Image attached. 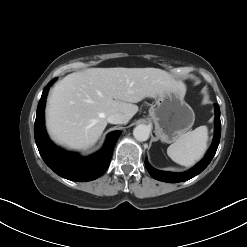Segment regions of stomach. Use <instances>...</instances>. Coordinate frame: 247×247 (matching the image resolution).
I'll return each instance as SVG.
<instances>
[{
  "label": "stomach",
  "instance_id": "obj_1",
  "mask_svg": "<svg viewBox=\"0 0 247 247\" xmlns=\"http://www.w3.org/2000/svg\"><path fill=\"white\" fill-rule=\"evenodd\" d=\"M185 91L184 85L166 90L149 109V115L155 125V134L162 142L176 141L194 124L195 114L184 100Z\"/></svg>",
  "mask_w": 247,
  "mask_h": 247
}]
</instances>
